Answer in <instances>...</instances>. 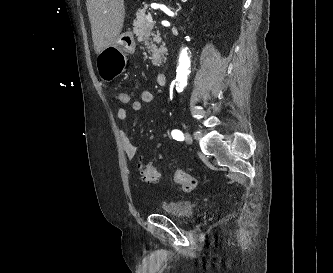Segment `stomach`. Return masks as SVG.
Masks as SVG:
<instances>
[{"label":"stomach","instance_id":"obj_1","mask_svg":"<svg viewBox=\"0 0 333 273\" xmlns=\"http://www.w3.org/2000/svg\"><path fill=\"white\" fill-rule=\"evenodd\" d=\"M136 43L131 31L118 36L116 41L97 56V71L105 81H111L121 70H125V53L133 54ZM122 52V53H117Z\"/></svg>","mask_w":333,"mask_h":273}]
</instances>
